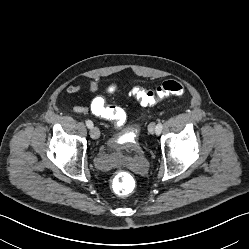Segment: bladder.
Wrapping results in <instances>:
<instances>
[{
  "mask_svg": "<svg viewBox=\"0 0 249 249\" xmlns=\"http://www.w3.org/2000/svg\"><path fill=\"white\" fill-rule=\"evenodd\" d=\"M107 144L111 150L110 155L99 158L96 163V167L101 171L111 169L127 155H135L143 149L142 144L129 127L124 128L121 134L109 138Z\"/></svg>",
  "mask_w": 249,
  "mask_h": 249,
  "instance_id": "31cf9c89",
  "label": "bladder"
}]
</instances>
